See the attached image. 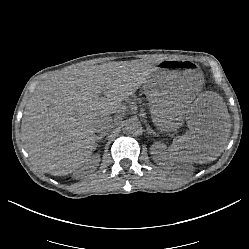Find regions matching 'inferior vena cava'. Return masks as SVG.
I'll list each match as a JSON object with an SVG mask.
<instances>
[{
  "label": "inferior vena cava",
  "instance_id": "1",
  "mask_svg": "<svg viewBox=\"0 0 249 249\" xmlns=\"http://www.w3.org/2000/svg\"><path fill=\"white\" fill-rule=\"evenodd\" d=\"M113 127V121L111 116L106 115L94 123V128L96 132H103L106 134V131L110 130Z\"/></svg>",
  "mask_w": 249,
  "mask_h": 249
}]
</instances>
